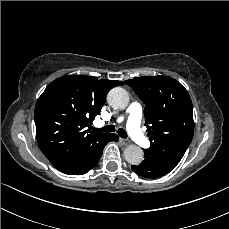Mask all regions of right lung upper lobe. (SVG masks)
Segmentation results:
<instances>
[{
    "label": "right lung upper lobe",
    "instance_id": "right-lung-upper-lobe-1",
    "mask_svg": "<svg viewBox=\"0 0 229 229\" xmlns=\"http://www.w3.org/2000/svg\"><path fill=\"white\" fill-rule=\"evenodd\" d=\"M117 80L67 75L51 82L35 107L39 147L51 164L63 172L79 161L104 135L84 129L92 124Z\"/></svg>",
    "mask_w": 229,
    "mask_h": 229
}]
</instances>
